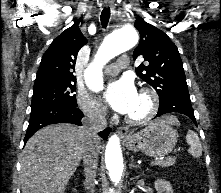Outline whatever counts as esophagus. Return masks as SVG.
Masks as SVG:
<instances>
[{
    "label": "esophagus",
    "mask_w": 221,
    "mask_h": 193,
    "mask_svg": "<svg viewBox=\"0 0 221 193\" xmlns=\"http://www.w3.org/2000/svg\"><path fill=\"white\" fill-rule=\"evenodd\" d=\"M112 4H113L112 0H104V5H105L106 7L112 6ZM128 132H129V130H128V128H126V127L119 128V129H118V133H119L121 136H125Z\"/></svg>",
    "instance_id": "1"
}]
</instances>
